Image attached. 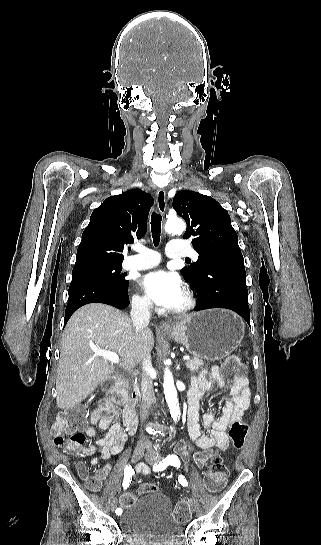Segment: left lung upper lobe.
<instances>
[{
    "instance_id": "1",
    "label": "left lung upper lobe",
    "mask_w": 321,
    "mask_h": 545,
    "mask_svg": "<svg viewBox=\"0 0 321 545\" xmlns=\"http://www.w3.org/2000/svg\"><path fill=\"white\" fill-rule=\"evenodd\" d=\"M173 208L186 220L183 238L192 239L193 248L199 254L197 262L181 269L190 284L200 279L204 267L215 257L241 253L228 212L212 197L189 190L179 191L174 196Z\"/></svg>"
}]
</instances>
